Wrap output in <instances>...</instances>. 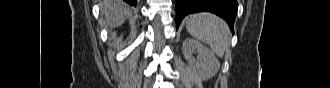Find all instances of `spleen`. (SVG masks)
Here are the masks:
<instances>
[{"mask_svg": "<svg viewBox=\"0 0 330 88\" xmlns=\"http://www.w3.org/2000/svg\"><path fill=\"white\" fill-rule=\"evenodd\" d=\"M187 31L197 40L210 46L223 57L229 46V28L225 21L211 13H196L185 19Z\"/></svg>", "mask_w": 330, "mask_h": 88, "instance_id": "spleen-1", "label": "spleen"}]
</instances>
